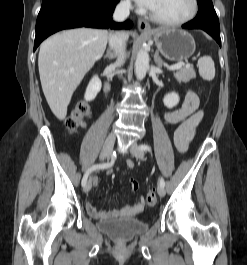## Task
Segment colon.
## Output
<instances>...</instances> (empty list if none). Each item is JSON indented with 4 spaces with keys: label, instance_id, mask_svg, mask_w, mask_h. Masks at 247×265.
Listing matches in <instances>:
<instances>
[{
    "label": "colon",
    "instance_id": "1",
    "mask_svg": "<svg viewBox=\"0 0 247 265\" xmlns=\"http://www.w3.org/2000/svg\"><path fill=\"white\" fill-rule=\"evenodd\" d=\"M90 115L91 107L88 102L82 101L77 103L66 121V127L68 131L70 133H74L81 129L85 125L86 120L90 117ZM132 188L137 190L138 183L136 181H132ZM156 202L157 196L155 192L150 191L145 197V203L152 207L156 204Z\"/></svg>",
    "mask_w": 247,
    "mask_h": 265
}]
</instances>
